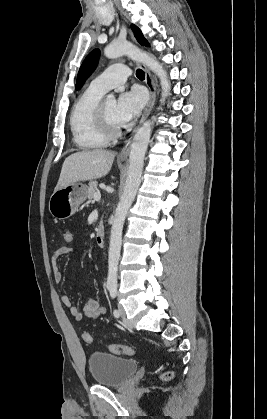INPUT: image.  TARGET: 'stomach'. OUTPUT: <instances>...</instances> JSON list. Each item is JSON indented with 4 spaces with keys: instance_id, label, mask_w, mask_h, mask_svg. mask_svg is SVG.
<instances>
[{
    "instance_id": "obj_1",
    "label": "stomach",
    "mask_w": 267,
    "mask_h": 419,
    "mask_svg": "<svg viewBox=\"0 0 267 419\" xmlns=\"http://www.w3.org/2000/svg\"><path fill=\"white\" fill-rule=\"evenodd\" d=\"M87 198V186L81 182L55 190L49 200V211L56 219L72 216Z\"/></svg>"
}]
</instances>
